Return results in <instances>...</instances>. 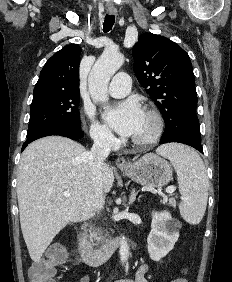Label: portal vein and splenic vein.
Listing matches in <instances>:
<instances>
[{
    "label": "portal vein and splenic vein",
    "mask_w": 232,
    "mask_h": 282,
    "mask_svg": "<svg viewBox=\"0 0 232 282\" xmlns=\"http://www.w3.org/2000/svg\"><path fill=\"white\" fill-rule=\"evenodd\" d=\"M175 190H176V188H175L174 186H169V187H167V189H166V193L172 194V193L175 192ZM63 195H64L65 197H69V196H70V193H69L68 191H64Z\"/></svg>",
    "instance_id": "18ae733b"
}]
</instances>
